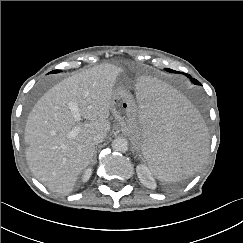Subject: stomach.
<instances>
[{"mask_svg": "<svg viewBox=\"0 0 243 243\" xmlns=\"http://www.w3.org/2000/svg\"><path fill=\"white\" fill-rule=\"evenodd\" d=\"M112 114L118 121L121 130L125 132L136 145V108L132 94L123 87L114 90L111 107Z\"/></svg>", "mask_w": 243, "mask_h": 243, "instance_id": "stomach-1", "label": "stomach"}]
</instances>
